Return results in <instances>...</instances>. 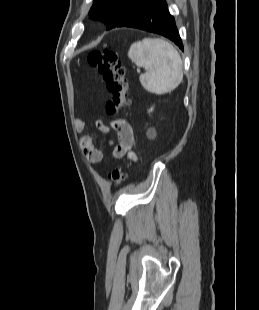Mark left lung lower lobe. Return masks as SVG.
Returning a JSON list of instances; mask_svg holds the SVG:
<instances>
[{"label": "left lung lower lobe", "mask_w": 259, "mask_h": 310, "mask_svg": "<svg viewBox=\"0 0 259 310\" xmlns=\"http://www.w3.org/2000/svg\"><path fill=\"white\" fill-rule=\"evenodd\" d=\"M115 27H132L160 34L183 50L174 17L170 15L165 0H150L132 9Z\"/></svg>", "instance_id": "0a47b994"}]
</instances>
